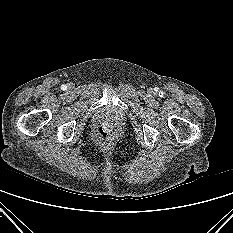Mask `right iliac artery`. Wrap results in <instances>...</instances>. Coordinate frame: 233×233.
Masks as SVG:
<instances>
[{"instance_id": "right-iliac-artery-1", "label": "right iliac artery", "mask_w": 233, "mask_h": 233, "mask_svg": "<svg viewBox=\"0 0 233 233\" xmlns=\"http://www.w3.org/2000/svg\"><path fill=\"white\" fill-rule=\"evenodd\" d=\"M67 88V86L65 85H62V89L65 90Z\"/></svg>"}]
</instances>
